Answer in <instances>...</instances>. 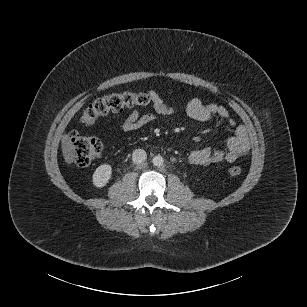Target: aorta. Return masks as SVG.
I'll return each instance as SVG.
<instances>
[{
	"label": "aorta",
	"instance_id": "1",
	"mask_svg": "<svg viewBox=\"0 0 307 307\" xmlns=\"http://www.w3.org/2000/svg\"><path fill=\"white\" fill-rule=\"evenodd\" d=\"M152 163L156 167H160L164 165V158L161 155H157L152 159Z\"/></svg>",
	"mask_w": 307,
	"mask_h": 307
}]
</instances>
